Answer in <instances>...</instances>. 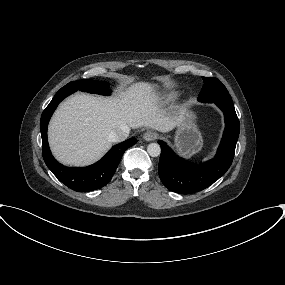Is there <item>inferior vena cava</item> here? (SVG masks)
I'll return each mask as SVG.
<instances>
[{"label":"inferior vena cava","instance_id":"1","mask_svg":"<svg viewBox=\"0 0 285 285\" xmlns=\"http://www.w3.org/2000/svg\"><path fill=\"white\" fill-rule=\"evenodd\" d=\"M130 133V128L122 125L120 128L111 132L109 139L111 142H122L127 139Z\"/></svg>","mask_w":285,"mask_h":285}]
</instances>
